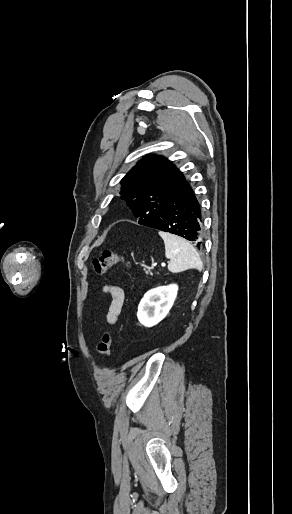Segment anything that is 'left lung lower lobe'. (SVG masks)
I'll list each match as a JSON object with an SVG mask.
<instances>
[{
    "mask_svg": "<svg viewBox=\"0 0 292 514\" xmlns=\"http://www.w3.org/2000/svg\"><path fill=\"white\" fill-rule=\"evenodd\" d=\"M203 220L200 204L188 181L171 196L160 214L145 226L179 235L202 247Z\"/></svg>",
    "mask_w": 292,
    "mask_h": 514,
    "instance_id": "1",
    "label": "left lung lower lobe"
}]
</instances>
